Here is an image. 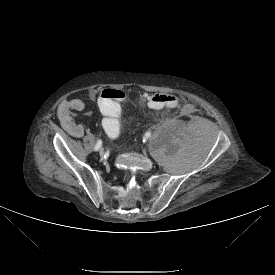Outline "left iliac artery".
<instances>
[{
	"label": "left iliac artery",
	"instance_id": "left-iliac-artery-1",
	"mask_svg": "<svg viewBox=\"0 0 275 275\" xmlns=\"http://www.w3.org/2000/svg\"><path fill=\"white\" fill-rule=\"evenodd\" d=\"M145 136L148 138L151 136V132H146Z\"/></svg>",
	"mask_w": 275,
	"mask_h": 275
}]
</instances>
